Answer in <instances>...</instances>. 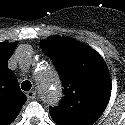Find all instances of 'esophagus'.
Listing matches in <instances>:
<instances>
[{
	"mask_svg": "<svg viewBox=\"0 0 125 125\" xmlns=\"http://www.w3.org/2000/svg\"><path fill=\"white\" fill-rule=\"evenodd\" d=\"M26 96L29 100H33L36 97V92L35 91H29L26 93Z\"/></svg>",
	"mask_w": 125,
	"mask_h": 125,
	"instance_id": "1",
	"label": "esophagus"
}]
</instances>
